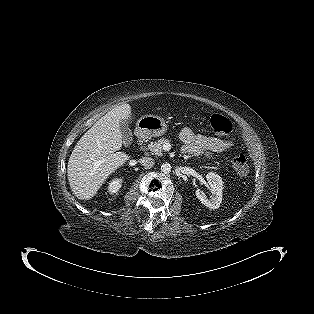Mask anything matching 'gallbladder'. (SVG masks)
Masks as SVG:
<instances>
[{
  "label": "gallbladder",
  "mask_w": 314,
  "mask_h": 314,
  "mask_svg": "<svg viewBox=\"0 0 314 314\" xmlns=\"http://www.w3.org/2000/svg\"><path fill=\"white\" fill-rule=\"evenodd\" d=\"M120 130L122 133V140H123V144L124 146H129L132 143V132L131 129L129 128V126L127 125V123H121L120 125Z\"/></svg>",
  "instance_id": "gallbladder-1"
}]
</instances>
